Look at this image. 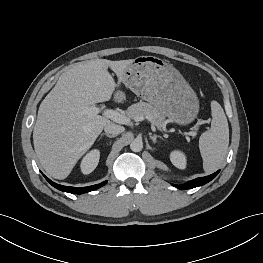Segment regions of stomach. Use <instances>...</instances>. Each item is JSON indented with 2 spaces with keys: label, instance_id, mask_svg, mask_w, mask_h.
Here are the masks:
<instances>
[{
  "label": "stomach",
  "instance_id": "obj_1",
  "mask_svg": "<svg viewBox=\"0 0 263 263\" xmlns=\"http://www.w3.org/2000/svg\"><path fill=\"white\" fill-rule=\"evenodd\" d=\"M123 83L137 96L179 125L198 115L199 101L188 82L166 60L139 56L125 69ZM123 96L122 93L119 94Z\"/></svg>",
  "mask_w": 263,
  "mask_h": 263
}]
</instances>
